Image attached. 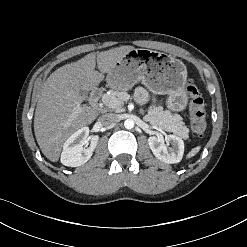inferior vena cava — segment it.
Segmentation results:
<instances>
[{"mask_svg": "<svg viewBox=\"0 0 247 247\" xmlns=\"http://www.w3.org/2000/svg\"><path fill=\"white\" fill-rule=\"evenodd\" d=\"M99 121L103 126H110V125H114V124L118 123L119 117L116 114L108 113V114L102 115V117H100Z\"/></svg>", "mask_w": 247, "mask_h": 247, "instance_id": "inferior-vena-cava-1", "label": "inferior vena cava"}]
</instances>
